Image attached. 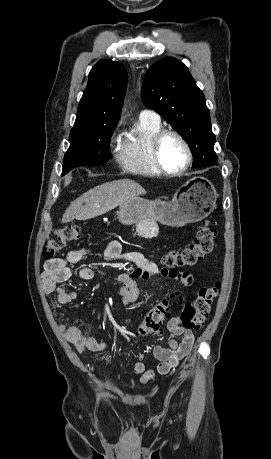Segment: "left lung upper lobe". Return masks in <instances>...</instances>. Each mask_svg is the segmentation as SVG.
I'll use <instances>...</instances> for the list:
<instances>
[{
	"instance_id": "1",
	"label": "left lung upper lobe",
	"mask_w": 271,
	"mask_h": 459,
	"mask_svg": "<svg viewBox=\"0 0 271 459\" xmlns=\"http://www.w3.org/2000/svg\"><path fill=\"white\" fill-rule=\"evenodd\" d=\"M142 101L187 141L194 167L218 162L205 97L182 62L167 57L151 66L143 81Z\"/></svg>"
}]
</instances>
